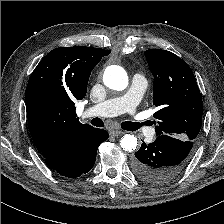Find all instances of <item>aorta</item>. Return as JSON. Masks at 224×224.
<instances>
[{"instance_id":"1","label":"aorta","mask_w":224,"mask_h":224,"mask_svg":"<svg viewBox=\"0 0 224 224\" xmlns=\"http://www.w3.org/2000/svg\"><path fill=\"white\" fill-rule=\"evenodd\" d=\"M103 81L109 88L122 91L128 85V75L121 66L111 65L105 69ZM120 145L123 150L131 152L137 147V138L134 135L126 134L121 138Z\"/></svg>"}]
</instances>
